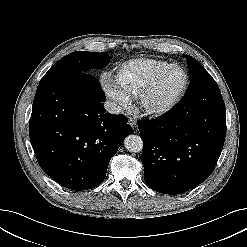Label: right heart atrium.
Instances as JSON below:
<instances>
[{
    "label": "right heart atrium",
    "instance_id": "d8ad5b80",
    "mask_svg": "<svg viewBox=\"0 0 247 247\" xmlns=\"http://www.w3.org/2000/svg\"><path fill=\"white\" fill-rule=\"evenodd\" d=\"M100 85L104 94L113 102L116 109L122 110L130 105L129 96L110 77L103 76L100 80Z\"/></svg>",
    "mask_w": 247,
    "mask_h": 247
}]
</instances>
